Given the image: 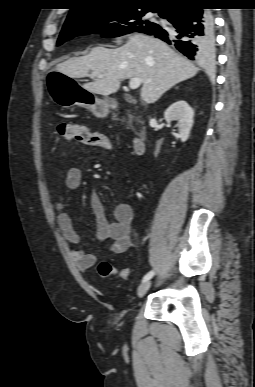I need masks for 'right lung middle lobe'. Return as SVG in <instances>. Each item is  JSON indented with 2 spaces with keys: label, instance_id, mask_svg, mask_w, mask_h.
<instances>
[{
  "label": "right lung middle lobe",
  "instance_id": "dd1d6c3e",
  "mask_svg": "<svg viewBox=\"0 0 255 387\" xmlns=\"http://www.w3.org/2000/svg\"><path fill=\"white\" fill-rule=\"evenodd\" d=\"M149 11L158 12L161 17L164 16V11L157 8L139 10L136 7H116L91 12L75 21L66 22L57 45L80 35L101 33L103 37L110 38L134 31L143 32L146 28L159 26L158 23L143 19Z\"/></svg>",
  "mask_w": 255,
  "mask_h": 387
}]
</instances>
